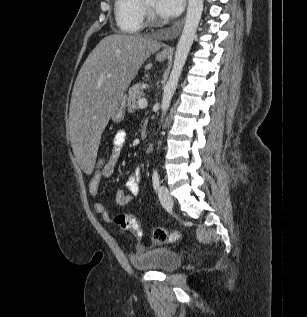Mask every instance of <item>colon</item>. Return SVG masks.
<instances>
[{
	"instance_id": "colon-1",
	"label": "colon",
	"mask_w": 307,
	"mask_h": 317,
	"mask_svg": "<svg viewBox=\"0 0 307 317\" xmlns=\"http://www.w3.org/2000/svg\"><path fill=\"white\" fill-rule=\"evenodd\" d=\"M108 159L98 155L95 161V169H102ZM114 221L124 230H130L135 236H141V227L138 221L128 214H117ZM182 239V234L178 231H168L163 228H157L153 231V241L156 243H173Z\"/></svg>"
}]
</instances>
